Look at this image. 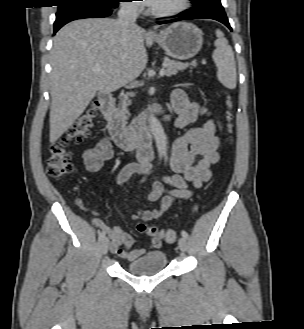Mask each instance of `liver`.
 Returning <instances> with one entry per match:
<instances>
[{
	"instance_id": "liver-1",
	"label": "liver",
	"mask_w": 304,
	"mask_h": 329,
	"mask_svg": "<svg viewBox=\"0 0 304 329\" xmlns=\"http://www.w3.org/2000/svg\"><path fill=\"white\" fill-rule=\"evenodd\" d=\"M140 27L123 30L117 20L81 19L61 28L51 50L50 137L56 142L84 112L97 91L112 92L145 69ZM101 70L95 72L93 66Z\"/></svg>"
}]
</instances>
